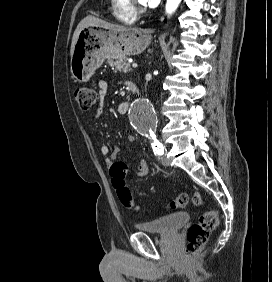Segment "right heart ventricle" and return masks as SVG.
<instances>
[{
  "label": "right heart ventricle",
  "instance_id": "obj_1",
  "mask_svg": "<svg viewBox=\"0 0 272 282\" xmlns=\"http://www.w3.org/2000/svg\"><path fill=\"white\" fill-rule=\"evenodd\" d=\"M115 17L125 23L132 24L136 20V15L128 8V0H111Z\"/></svg>",
  "mask_w": 272,
  "mask_h": 282
}]
</instances>
